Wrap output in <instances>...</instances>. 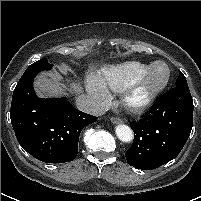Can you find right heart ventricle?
<instances>
[{
  "label": "right heart ventricle",
  "instance_id": "e07e8e85",
  "mask_svg": "<svg viewBox=\"0 0 201 201\" xmlns=\"http://www.w3.org/2000/svg\"><path fill=\"white\" fill-rule=\"evenodd\" d=\"M150 64L139 61H127L103 68L97 78L114 92H122L135 78L141 75Z\"/></svg>",
  "mask_w": 201,
  "mask_h": 201
}]
</instances>
